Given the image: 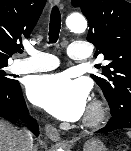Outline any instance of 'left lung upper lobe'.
I'll list each match as a JSON object with an SVG mask.
<instances>
[{"label":"left lung upper lobe","instance_id":"1","mask_svg":"<svg viewBox=\"0 0 131 151\" xmlns=\"http://www.w3.org/2000/svg\"><path fill=\"white\" fill-rule=\"evenodd\" d=\"M90 24L87 41L109 64L92 79L101 87L112 114L131 108V3L125 0H72Z\"/></svg>","mask_w":131,"mask_h":151}]
</instances>
